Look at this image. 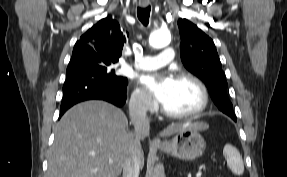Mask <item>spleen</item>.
Wrapping results in <instances>:
<instances>
[{
	"label": "spleen",
	"instance_id": "obj_1",
	"mask_svg": "<svg viewBox=\"0 0 287 177\" xmlns=\"http://www.w3.org/2000/svg\"><path fill=\"white\" fill-rule=\"evenodd\" d=\"M223 154L232 173L242 175L244 172V164L237 148L231 144H226L223 148Z\"/></svg>",
	"mask_w": 287,
	"mask_h": 177
}]
</instances>
